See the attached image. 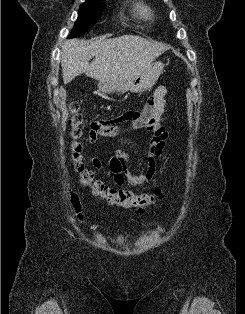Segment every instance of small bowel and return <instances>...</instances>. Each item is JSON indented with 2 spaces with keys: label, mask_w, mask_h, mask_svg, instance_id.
I'll return each instance as SVG.
<instances>
[{
  "label": "small bowel",
  "mask_w": 245,
  "mask_h": 314,
  "mask_svg": "<svg viewBox=\"0 0 245 314\" xmlns=\"http://www.w3.org/2000/svg\"><path fill=\"white\" fill-rule=\"evenodd\" d=\"M166 94L167 87L160 85L149 97L142 110L91 123L88 135L90 144H95L100 135H118L133 130H142L144 134L149 135L147 168L145 171L134 172L130 168L129 164L133 157L131 151L118 150L111 157L108 173L112 176L116 185L128 184L132 187H142L154 178L156 174L155 158L163 154L168 137L166 128L161 125ZM93 164L98 169L102 168V164L97 158L93 159Z\"/></svg>",
  "instance_id": "1"
}]
</instances>
